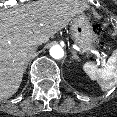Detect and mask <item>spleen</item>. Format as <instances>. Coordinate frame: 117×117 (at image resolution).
I'll list each match as a JSON object with an SVG mask.
<instances>
[{
    "instance_id": "obj_1",
    "label": "spleen",
    "mask_w": 117,
    "mask_h": 117,
    "mask_svg": "<svg viewBox=\"0 0 117 117\" xmlns=\"http://www.w3.org/2000/svg\"><path fill=\"white\" fill-rule=\"evenodd\" d=\"M83 68L91 79L100 81L102 89H110L117 83V50L113 51L104 68L98 69L92 63H85Z\"/></svg>"
}]
</instances>
